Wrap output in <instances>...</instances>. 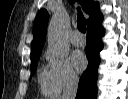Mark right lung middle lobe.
Wrapping results in <instances>:
<instances>
[{
	"instance_id": "obj_1",
	"label": "right lung middle lobe",
	"mask_w": 128,
	"mask_h": 99,
	"mask_svg": "<svg viewBox=\"0 0 128 99\" xmlns=\"http://www.w3.org/2000/svg\"><path fill=\"white\" fill-rule=\"evenodd\" d=\"M40 55L31 57V75H33L37 68V61Z\"/></svg>"
}]
</instances>
